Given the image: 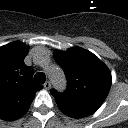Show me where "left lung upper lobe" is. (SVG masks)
<instances>
[{"mask_svg":"<svg viewBox=\"0 0 128 128\" xmlns=\"http://www.w3.org/2000/svg\"><path fill=\"white\" fill-rule=\"evenodd\" d=\"M54 59L68 80L65 93L51 91L55 100L97 110L111 87L112 77L108 67L96 55L79 47L66 52L55 51Z\"/></svg>","mask_w":128,"mask_h":128,"instance_id":"left-lung-upper-lobe-1","label":"left lung upper lobe"}]
</instances>
